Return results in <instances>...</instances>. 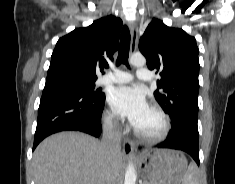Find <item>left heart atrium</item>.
I'll return each mask as SVG.
<instances>
[{
    "label": "left heart atrium",
    "mask_w": 235,
    "mask_h": 184,
    "mask_svg": "<svg viewBox=\"0 0 235 184\" xmlns=\"http://www.w3.org/2000/svg\"><path fill=\"white\" fill-rule=\"evenodd\" d=\"M107 101L114 117L127 119L134 128L150 109L143 92L130 87L112 89L108 93Z\"/></svg>",
    "instance_id": "obj_1"
}]
</instances>
